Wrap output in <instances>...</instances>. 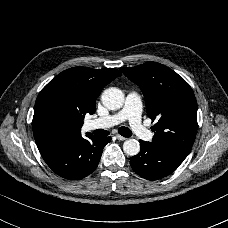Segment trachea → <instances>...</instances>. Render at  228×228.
Masks as SVG:
<instances>
[{
	"mask_svg": "<svg viewBox=\"0 0 228 228\" xmlns=\"http://www.w3.org/2000/svg\"><path fill=\"white\" fill-rule=\"evenodd\" d=\"M94 133H95V135L100 136V137H104V136H107V135L110 134L109 131H106V130H103V129H98ZM118 133L121 136H124V137H130V136H132V132L127 127H119Z\"/></svg>",
	"mask_w": 228,
	"mask_h": 228,
	"instance_id": "trachea-1",
	"label": "trachea"
}]
</instances>
